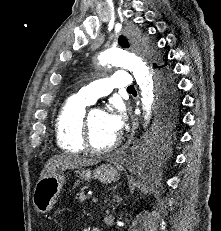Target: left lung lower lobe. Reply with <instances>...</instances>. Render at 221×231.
<instances>
[{
  "mask_svg": "<svg viewBox=\"0 0 221 231\" xmlns=\"http://www.w3.org/2000/svg\"><path fill=\"white\" fill-rule=\"evenodd\" d=\"M155 68H158V82L161 88V103L159 106V117L173 111L175 101V84L173 81L172 73L168 70H161V66L154 64Z\"/></svg>",
  "mask_w": 221,
  "mask_h": 231,
  "instance_id": "left-lung-lower-lobe-1",
  "label": "left lung lower lobe"
}]
</instances>
